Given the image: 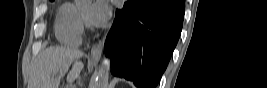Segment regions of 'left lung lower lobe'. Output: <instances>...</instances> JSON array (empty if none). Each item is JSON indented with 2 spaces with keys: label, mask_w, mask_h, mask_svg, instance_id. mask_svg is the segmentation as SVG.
<instances>
[{
  "label": "left lung lower lobe",
  "mask_w": 267,
  "mask_h": 88,
  "mask_svg": "<svg viewBox=\"0 0 267 88\" xmlns=\"http://www.w3.org/2000/svg\"><path fill=\"white\" fill-rule=\"evenodd\" d=\"M184 0H128L105 42L115 76L138 88H155L178 42Z\"/></svg>",
  "instance_id": "obj_1"
}]
</instances>
